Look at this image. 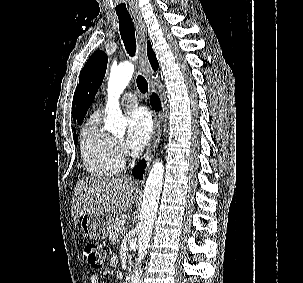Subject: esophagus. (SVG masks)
<instances>
[{"instance_id": "1", "label": "esophagus", "mask_w": 303, "mask_h": 283, "mask_svg": "<svg viewBox=\"0 0 303 283\" xmlns=\"http://www.w3.org/2000/svg\"><path fill=\"white\" fill-rule=\"evenodd\" d=\"M134 23L137 30V41H138V55L141 63V69L146 76V78L151 81L152 72L150 68V64L147 58V30L146 26L141 17H135ZM150 90H154V86L150 85ZM154 119V131L151 138V142L148 147V155L152 157L158 147L160 141V134H161V124L159 116L154 112L153 113Z\"/></svg>"}]
</instances>
